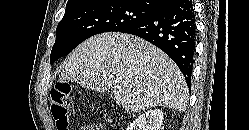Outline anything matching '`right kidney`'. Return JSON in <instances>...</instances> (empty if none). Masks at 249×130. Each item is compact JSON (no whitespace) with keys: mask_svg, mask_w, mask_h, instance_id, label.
Segmentation results:
<instances>
[{"mask_svg":"<svg viewBox=\"0 0 249 130\" xmlns=\"http://www.w3.org/2000/svg\"><path fill=\"white\" fill-rule=\"evenodd\" d=\"M162 123V110L153 109L138 116L127 130H161Z\"/></svg>","mask_w":249,"mask_h":130,"instance_id":"1","label":"right kidney"}]
</instances>
